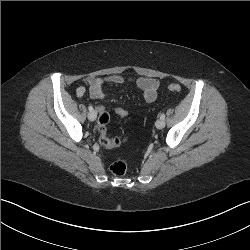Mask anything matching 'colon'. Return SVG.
Instances as JSON below:
<instances>
[{"mask_svg": "<svg viewBox=\"0 0 250 250\" xmlns=\"http://www.w3.org/2000/svg\"><path fill=\"white\" fill-rule=\"evenodd\" d=\"M168 89L173 92H180L181 86L177 83H170L168 85ZM114 112L118 114L119 120H125L126 115L128 114V111L122 106L114 107ZM108 122H109V114L105 110L100 112L97 125L99 132V144L101 146H106L107 148L119 147L127 140V138L122 137V138L110 139L109 136L107 135ZM110 170L113 175L117 177H122L127 172V163L123 159H118L112 163V165L110 166Z\"/></svg>", "mask_w": 250, "mask_h": 250, "instance_id": "5ec220e1", "label": "colon"}]
</instances>
